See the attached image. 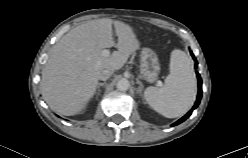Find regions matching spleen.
Instances as JSON below:
<instances>
[{
    "mask_svg": "<svg viewBox=\"0 0 248 158\" xmlns=\"http://www.w3.org/2000/svg\"><path fill=\"white\" fill-rule=\"evenodd\" d=\"M196 93L197 81L190 59L185 52L173 50L165 85L146 88L144 96L155 111L167 118H176L192 107Z\"/></svg>",
    "mask_w": 248,
    "mask_h": 158,
    "instance_id": "spleen-1",
    "label": "spleen"
}]
</instances>
